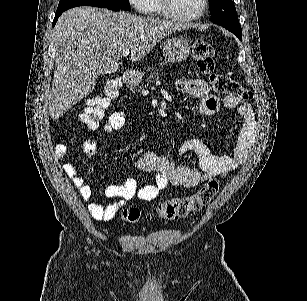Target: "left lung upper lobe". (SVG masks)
I'll list each match as a JSON object with an SVG mask.
<instances>
[{
    "mask_svg": "<svg viewBox=\"0 0 307 301\" xmlns=\"http://www.w3.org/2000/svg\"><path fill=\"white\" fill-rule=\"evenodd\" d=\"M211 21L221 25L242 39L241 26L232 0H209Z\"/></svg>",
    "mask_w": 307,
    "mask_h": 301,
    "instance_id": "5c2ea615",
    "label": "left lung upper lobe"
}]
</instances>
